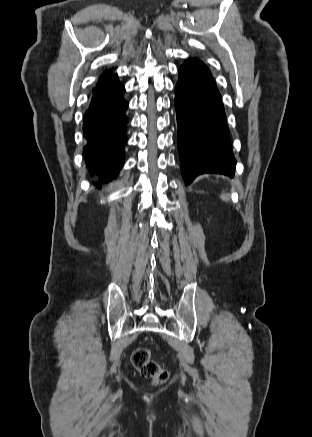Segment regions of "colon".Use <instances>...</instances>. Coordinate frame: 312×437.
I'll list each match as a JSON object with an SVG mask.
<instances>
[{
	"label": "colon",
	"instance_id": "5ec220e1",
	"mask_svg": "<svg viewBox=\"0 0 312 437\" xmlns=\"http://www.w3.org/2000/svg\"><path fill=\"white\" fill-rule=\"evenodd\" d=\"M131 361L135 369L154 385L164 384L169 378L168 371L151 358V352L146 347L137 348L131 356Z\"/></svg>",
	"mask_w": 312,
	"mask_h": 437
}]
</instances>
